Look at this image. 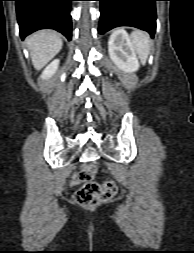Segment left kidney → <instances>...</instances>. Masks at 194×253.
Instances as JSON below:
<instances>
[{"instance_id":"5707ae66","label":"left kidney","mask_w":194,"mask_h":253,"mask_svg":"<svg viewBox=\"0 0 194 253\" xmlns=\"http://www.w3.org/2000/svg\"><path fill=\"white\" fill-rule=\"evenodd\" d=\"M108 50L111 60L126 73L138 70L139 62L135 50L127 33L118 29L112 33L108 42Z\"/></svg>"}]
</instances>
